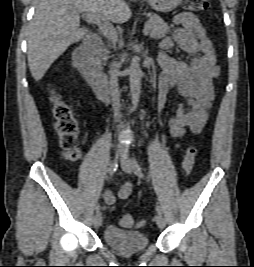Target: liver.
Wrapping results in <instances>:
<instances>
[{
    "label": "liver",
    "mask_w": 254,
    "mask_h": 267,
    "mask_svg": "<svg viewBox=\"0 0 254 267\" xmlns=\"http://www.w3.org/2000/svg\"><path fill=\"white\" fill-rule=\"evenodd\" d=\"M27 39L28 65L39 81L66 49L83 39L88 28H80L82 13H99L114 23L131 17L126 0H36Z\"/></svg>",
    "instance_id": "1"
}]
</instances>
